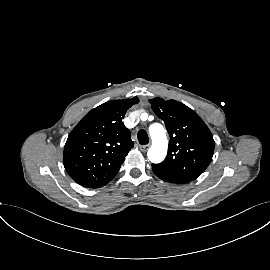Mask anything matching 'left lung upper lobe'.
Segmentation results:
<instances>
[{"label":"left lung upper lobe","instance_id":"1","mask_svg":"<svg viewBox=\"0 0 270 270\" xmlns=\"http://www.w3.org/2000/svg\"><path fill=\"white\" fill-rule=\"evenodd\" d=\"M149 102L155 114L164 121L170 136L166 159L160 164H152V168L195 180L212 160L215 142L210 130L183 103L158 97Z\"/></svg>","mask_w":270,"mask_h":270}]
</instances>
